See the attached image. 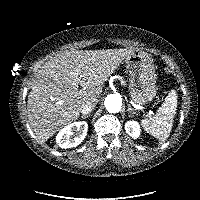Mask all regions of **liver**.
<instances>
[{
  "label": "liver",
  "instance_id": "1",
  "mask_svg": "<svg viewBox=\"0 0 200 200\" xmlns=\"http://www.w3.org/2000/svg\"><path fill=\"white\" fill-rule=\"evenodd\" d=\"M133 52L69 50L49 59L32 81L27 101L28 121L38 140L46 142L75 121L84 101L98 103L104 82Z\"/></svg>",
  "mask_w": 200,
  "mask_h": 200
}]
</instances>
